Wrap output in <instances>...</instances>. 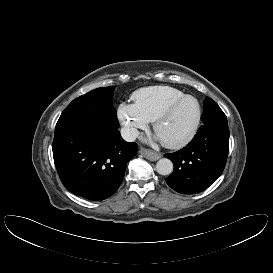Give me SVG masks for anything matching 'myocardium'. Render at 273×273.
Here are the masks:
<instances>
[{
    "label": "myocardium",
    "instance_id": "myocardium-1",
    "mask_svg": "<svg viewBox=\"0 0 273 273\" xmlns=\"http://www.w3.org/2000/svg\"><path fill=\"white\" fill-rule=\"evenodd\" d=\"M185 100H193L196 103L197 106V117L196 120L194 122V125L191 129V131L181 140L177 141V142H165L162 141L163 145L166 146L167 148L170 149H180L185 147L186 145H188L196 136L200 123H201V117H202V109H201V105L199 103V101L191 96V95H184L172 102H170L154 119L153 121V130L156 133L157 128L159 127V125L166 119L169 117V115L172 113V111L174 110V108L176 106H178L180 103H182Z\"/></svg>",
    "mask_w": 273,
    "mask_h": 273
}]
</instances>
